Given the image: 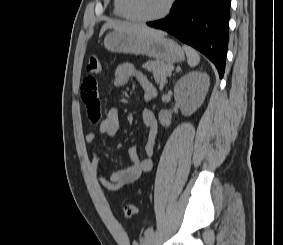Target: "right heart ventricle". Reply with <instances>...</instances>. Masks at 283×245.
Instances as JSON below:
<instances>
[{
	"instance_id": "1",
	"label": "right heart ventricle",
	"mask_w": 283,
	"mask_h": 245,
	"mask_svg": "<svg viewBox=\"0 0 283 245\" xmlns=\"http://www.w3.org/2000/svg\"><path fill=\"white\" fill-rule=\"evenodd\" d=\"M114 13L120 18L131 20L130 16L125 10L124 0H114Z\"/></svg>"
}]
</instances>
